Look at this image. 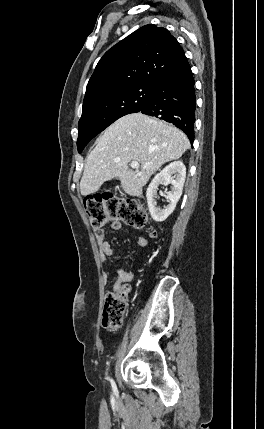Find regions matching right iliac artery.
Instances as JSON below:
<instances>
[{
  "label": "right iliac artery",
  "instance_id": "obj_1",
  "mask_svg": "<svg viewBox=\"0 0 264 429\" xmlns=\"http://www.w3.org/2000/svg\"><path fill=\"white\" fill-rule=\"evenodd\" d=\"M108 380L112 381L111 379H109V377H107Z\"/></svg>",
  "mask_w": 264,
  "mask_h": 429
}]
</instances>
